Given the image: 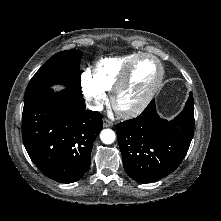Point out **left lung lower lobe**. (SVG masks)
Returning a JSON list of instances; mask_svg holds the SVG:
<instances>
[{"mask_svg": "<svg viewBox=\"0 0 221 221\" xmlns=\"http://www.w3.org/2000/svg\"><path fill=\"white\" fill-rule=\"evenodd\" d=\"M193 97L173 120L161 119L152 100L138 117L116 125L126 173L152 183L172 173L184 159L194 133Z\"/></svg>", "mask_w": 221, "mask_h": 221, "instance_id": "0a47b994", "label": "left lung lower lobe"}]
</instances>
